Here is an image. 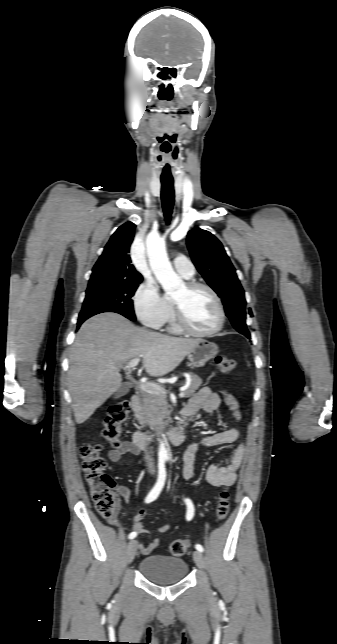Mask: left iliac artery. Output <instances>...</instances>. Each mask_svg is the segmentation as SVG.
Segmentation results:
<instances>
[{"mask_svg":"<svg viewBox=\"0 0 337 644\" xmlns=\"http://www.w3.org/2000/svg\"><path fill=\"white\" fill-rule=\"evenodd\" d=\"M185 503H186V505H187V514H186V519H187L188 521H190V520L193 518V516H194V506H193L192 501H191L189 498H185ZM195 548H196L198 551H200V552H203V551H204V549H203L202 545H200V544H196V545H195Z\"/></svg>","mask_w":337,"mask_h":644,"instance_id":"left-iliac-artery-1","label":"left iliac artery"}]
</instances>
